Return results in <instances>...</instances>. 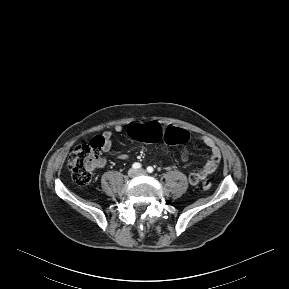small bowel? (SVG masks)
Here are the masks:
<instances>
[{
	"mask_svg": "<svg viewBox=\"0 0 289 289\" xmlns=\"http://www.w3.org/2000/svg\"><path fill=\"white\" fill-rule=\"evenodd\" d=\"M124 127L122 125H116L114 127V131L116 132H122ZM102 138L104 140V145H103V151L108 152L111 148L112 145V131H106L103 135ZM202 143L207 146L210 150V156L205 162L204 166L196 172H192L189 175V182L192 185H196L200 183L202 180L207 178L210 174H212L218 167L220 160H221V153L218 148V146L215 144V142L209 138V137H202L201 138ZM182 157L185 158L186 154L183 153ZM118 158L121 160L127 159L126 154H119Z\"/></svg>",
	"mask_w": 289,
	"mask_h": 289,
	"instance_id": "c3829d8e",
	"label": "small bowel"
}]
</instances>
